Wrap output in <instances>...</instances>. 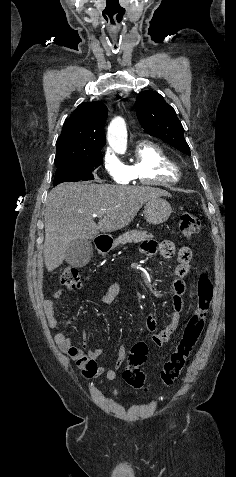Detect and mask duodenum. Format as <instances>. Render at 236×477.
<instances>
[{
  "label": "duodenum",
  "instance_id": "410a0bca",
  "mask_svg": "<svg viewBox=\"0 0 236 477\" xmlns=\"http://www.w3.org/2000/svg\"><path fill=\"white\" fill-rule=\"evenodd\" d=\"M112 246V240L111 239H98L96 241V247L99 250H105L108 249Z\"/></svg>",
  "mask_w": 236,
  "mask_h": 477
}]
</instances>
